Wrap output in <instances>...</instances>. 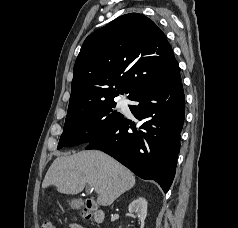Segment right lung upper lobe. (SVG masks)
I'll use <instances>...</instances> for the list:
<instances>
[{"mask_svg": "<svg viewBox=\"0 0 238 228\" xmlns=\"http://www.w3.org/2000/svg\"><path fill=\"white\" fill-rule=\"evenodd\" d=\"M180 77L164 33L138 13L122 15L89 35L74 66L68 112L134 95Z\"/></svg>", "mask_w": 238, "mask_h": 228, "instance_id": "right-lung-upper-lobe-1", "label": "right lung upper lobe"}]
</instances>
